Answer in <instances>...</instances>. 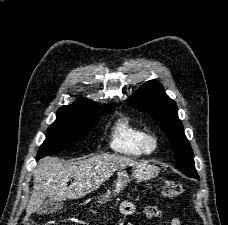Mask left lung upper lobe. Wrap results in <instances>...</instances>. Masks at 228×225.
<instances>
[{"mask_svg":"<svg viewBox=\"0 0 228 225\" xmlns=\"http://www.w3.org/2000/svg\"><path fill=\"white\" fill-rule=\"evenodd\" d=\"M129 106L149 114L169 138L175 153V166L186 176L199 179L194 168V156L182 122L178 118L176 102L170 99L160 83L149 81L127 99Z\"/></svg>","mask_w":228,"mask_h":225,"instance_id":"5c2ea615","label":"left lung upper lobe"}]
</instances>
